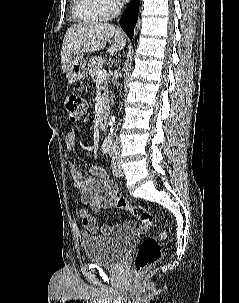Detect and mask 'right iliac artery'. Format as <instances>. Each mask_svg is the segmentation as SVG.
I'll return each mask as SVG.
<instances>
[{
  "label": "right iliac artery",
  "mask_w": 239,
  "mask_h": 303,
  "mask_svg": "<svg viewBox=\"0 0 239 303\" xmlns=\"http://www.w3.org/2000/svg\"><path fill=\"white\" fill-rule=\"evenodd\" d=\"M110 147H111V142L109 141H104L103 144H102V152L104 154L108 153L109 150H110Z\"/></svg>",
  "instance_id": "1"
}]
</instances>
